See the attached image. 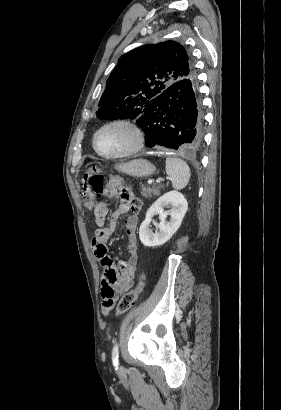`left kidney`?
<instances>
[{"mask_svg": "<svg viewBox=\"0 0 281 410\" xmlns=\"http://www.w3.org/2000/svg\"><path fill=\"white\" fill-rule=\"evenodd\" d=\"M165 207H171L170 212H165ZM188 203L183 194L170 191L158 198L148 209L145 220L139 229V238L146 247H157L166 243L179 229L187 212ZM159 215L158 231L153 233L149 228L153 216ZM170 215V221L166 218Z\"/></svg>", "mask_w": 281, "mask_h": 410, "instance_id": "1", "label": "left kidney"}]
</instances>
